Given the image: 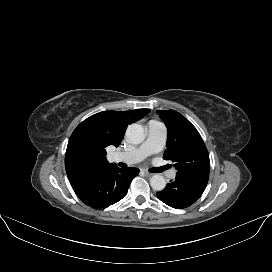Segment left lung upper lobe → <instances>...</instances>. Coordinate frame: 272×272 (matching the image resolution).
I'll return each instance as SVG.
<instances>
[{"label": "left lung upper lobe", "mask_w": 272, "mask_h": 272, "mask_svg": "<svg viewBox=\"0 0 272 272\" xmlns=\"http://www.w3.org/2000/svg\"><path fill=\"white\" fill-rule=\"evenodd\" d=\"M167 131V149L163 158L174 162L176 176L209 175L207 148L196 128L174 110L157 111Z\"/></svg>", "instance_id": "5c2ea615"}]
</instances>
